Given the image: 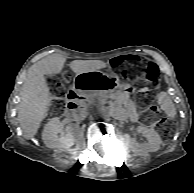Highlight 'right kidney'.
<instances>
[{
  "mask_svg": "<svg viewBox=\"0 0 194 193\" xmlns=\"http://www.w3.org/2000/svg\"><path fill=\"white\" fill-rule=\"evenodd\" d=\"M62 130V124L59 118H52L44 127L42 132V140L48 148H69L74 144L75 132L73 128L68 125L67 132L58 133Z\"/></svg>",
  "mask_w": 194,
  "mask_h": 193,
  "instance_id": "right-kidney-1",
  "label": "right kidney"
}]
</instances>
